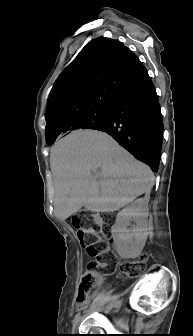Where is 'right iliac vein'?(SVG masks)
<instances>
[{
	"mask_svg": "<svg viewBox=\"0 0 193 336\" xmlns=\"http://www.w3.org/2000/svg\"><path fill=\"white\" fill-rule=\"evenodd\" d=\"M80 319H81V317L75 322L74 328L77 326V324L79 323Z\"/></svg>",
	"mask_w": 193,
	"mask_h": 336,
	"instance_id": "obj_1",
	"label": "right iliac vein"
}]
</instances>
